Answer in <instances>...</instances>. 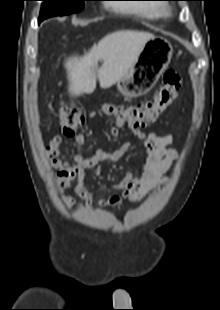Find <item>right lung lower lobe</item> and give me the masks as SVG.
<instances>
[{
	"mask_svg": "<svg viewBox=\"0 0 220 310\" xmlns=\"http://www.w3.org/2000/svg\"><path fill=\"white\" fill-rule=\"evenodd\" d=\"M41 21H42V20L39 19V20H38V23H40Z\"/></svg>",
	"mask_w": 220,
	"mask_h": 310,
	"instance_id": "right-lung-lower-lobe-1",
	"label": "right lung lower lobe"
}]
</instances>
